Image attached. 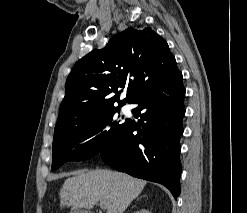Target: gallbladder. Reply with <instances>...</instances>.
Here are the masks:
<instances>
[{"label": "gallbladder", "instance_id": "1", "mask_svg": "<svg viewBox=\"0 0 247 213\" xmlns=\"http://www.w3.org/2000/svg\"><path fill=\"white\" fill-rule=\"evenodd\" d=\"M71 213H91V212H88L86 210H81V209H75Z\"/></svg>", "mask_w": 247, "mask_h": 213}]
</instances>
